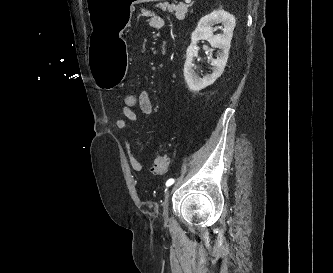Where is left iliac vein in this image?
<instances>
[{
    "instance_id": "4c4485c4",
    "label": "left iliac vein",
    "mask_w": 333,
    "mask_h": 273,
    "mask_svg": "<svg viewBox=\"0 0 333 273\" xmlns=\"http://www.w3.org/2000/svg\"><path fill=\"white\" fill-rule=\"evenodd\" d=\"M169 197H170V192H169V190H166L165 195H164L163 211H162V216H163L165 224H167L169 222V216H168Z\"/></svg>"
}]
</instances>
